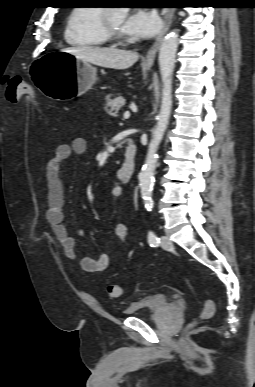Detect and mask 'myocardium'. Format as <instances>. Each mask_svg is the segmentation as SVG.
<instances>
[{"label": "myocardium", "mask_w": 255, "mask_h": 387, "mask_svg": "<svg viewBox=\"0 0 255 387\" xmlns=\"http://www.w3.org/2000/svg\"><path fill=\"white\" fill-rule=\"evenodd\" d=\"M111 10L109 9H103L101 13L100 23H101V29L106 37L107 41L109 42H119L124 39V35L122 31L117 30L111 22L110 18Z\"/></svg>", "instance_id": "1"}]
</instances>
